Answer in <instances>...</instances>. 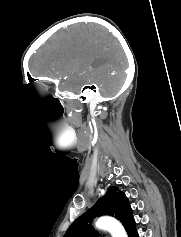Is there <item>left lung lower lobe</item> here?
Instances as JSON below:
<instances>
[{
	"label": "left lung lower lobe",
	"mask_w": 181,
	"mask_h": 237,
	"mask_svg": "<svg viewBox=\"0 0 181 237\" xmlns=\"http://www.w3.org/2000/svg\"><path fill=\"white\" fill-rule=\"evenodd\" d=\"M134 237H138V233Z\"/></svg>",
	"instance_id": "0a47b994"
}]
</instances>
